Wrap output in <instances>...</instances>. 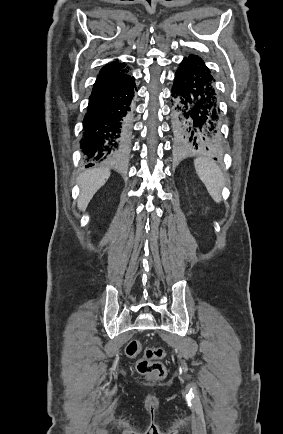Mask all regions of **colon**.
<instances>
[{
	"label": "colon",
	"instance_id": "colon-1",
	"mask_svg": "<svg viewBox=\"0 0 283 434\" xmlns=\"http://www.w3.org/2000/svg\"><path fill=\"white\" fill-rule=\"evenodd\" d=\"M125 352L128 357L138 359L136 369L140 374L156 380L165 377L166 368L158 361L165 356L164 349L160 347L148 348L144 354L141 355V343L138 340H131L127 343Z\"/></svg>",
	"mask_w": 283,
	"mask_h": 434
}]
</instances>
